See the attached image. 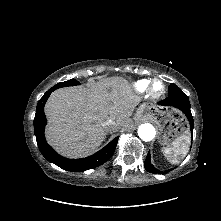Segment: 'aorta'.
Masks as SVG:
<instances>
[{
    "label": "aorta",
    "instance_id": "obj_1",
    "mask_svg": "<svg viewBox=\"0 0 221 221\" xmlns=\"http://www.w3.org/2000/svg\"><path fill=\"white\" fill-rule=\"evenodd\" d=\"M156 135V131L153 125L149 123H145L139 126L138 128V136L143 140V141H151L154 139Z\"/></svg>",
    "mask_w": 221,
    "mask_h": 221
}]
</instances>
